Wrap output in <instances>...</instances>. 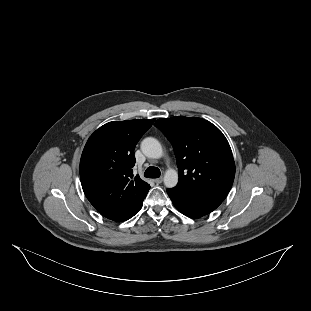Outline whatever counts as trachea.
<instances>
[{"label": "trachea", "instance_id": "obj_1", "mask_svg": "<svg viewBox=\"0 0 311 311\" xmlns=\"http://www.w3.org/2000/svg\"><path fill=\"white\" fill-rule=\"evenodd\" d=\"M160 174L159 168L150 166L146 169L144 176L146 178H159Z\"/></svg>", "mask_w": 311, "mask_h": 311}]
</instances>
